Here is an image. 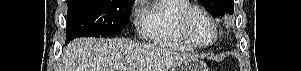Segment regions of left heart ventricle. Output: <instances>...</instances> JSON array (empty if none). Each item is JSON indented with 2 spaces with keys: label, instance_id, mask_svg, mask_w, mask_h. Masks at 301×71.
Instances as JSON below:
<instances>
[{
  "label": "left heart ventricle",
  "instance_id": "left-heart-ventricle-1",
  "mask_svg": "<svg viewBox=\"0 0 301 71\" xmlns=\"http://www.w3.org/2000/svg\"><path fill=\"white\" fill-rule=\"evenodd\" d=\"M190 30L194 38L200 43H208L213 38V27L201 14L195 13L190 20Z\"/></svg>",
  "mask_w": 301,
  "mask_h": 71
}]
</instances>
